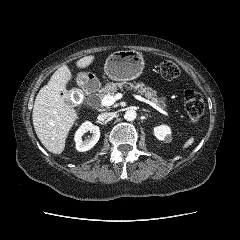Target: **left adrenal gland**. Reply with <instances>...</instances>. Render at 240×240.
<instances>
[{
    "label": "left adrenal gland",
    "mask_w": 240,
    "mask_h": 240,
    "mask_svg": "<svg viewBox=\"0 0 240 240\" xmlns=\"http://www.w3.org/2000/svg\"><path fill=\"white\" fill-rule=\"evenodd\" d=\"M143 111H145V112H150L149 110H147V109H143Z\"/></svg>",
    "instance_id": "1"
}]
</instances>
